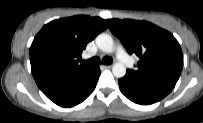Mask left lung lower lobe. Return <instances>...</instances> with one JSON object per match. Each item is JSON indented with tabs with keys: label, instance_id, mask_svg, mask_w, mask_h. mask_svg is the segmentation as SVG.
Wrapping results in <instances>:
<instances>
[{
	"label": "left lung lower lobe",
	"instance_id": "obj_1",
	"mask_svg": "<svg viewBox=\"0 0 203 123\" xmlns=\"http://www.w3.org/2000/svg\"><path fill=\"white\" fill-rule=\"evenodd\" d=\"M118 83L121 92L129 100L141 105H149L160 101L174 87L168 83L139 77L130 72H126V75L119 79Z\"/></svg>",
	"mask_w": 203,
	"mask_h": 123
}]
</instances>
